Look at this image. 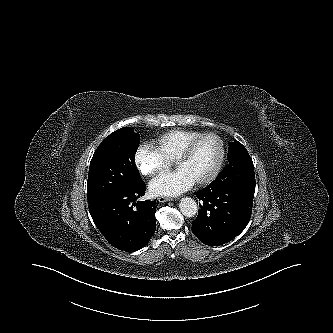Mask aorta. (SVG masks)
Listing matches in <instances>:
<instances>
[{
  "label": "aorta",
  "instance_id": "aorta-1",
  "mask_svg": "<svg viewBox=\"0 0 333 333\" xmlns=\"http://www.w3.org/2000/svg\"><path fill=\"white\" fill-rule=\"evenodd\" d=\"M179 208L186 217H193L198 211L197 203L190 197H184L180 200Z\"/></svg>",
  "mask_w": 333,
  "mask_h": 333
}]
</instances>
